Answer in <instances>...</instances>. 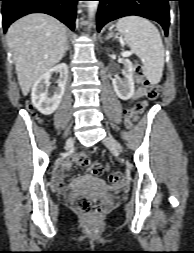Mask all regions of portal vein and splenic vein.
Here are the masks:
<instances>
[{
  "mask_svg": "<svg viewBox=\"0 0 194 253\" xmlns=\"http://www.w3.org/2000/svg\"><path fill=\"white\" fill-rule=\"evenodd\" d=\"M130 54H132V52L130 51V52H125V53H123V55H130Z\"/></svg>",
  "mask_w": 194,
  "mask_h": 253,
  "instance_id": "18ae733b",
  "label": "portal vein and splenic vein"
}]
</instances>
